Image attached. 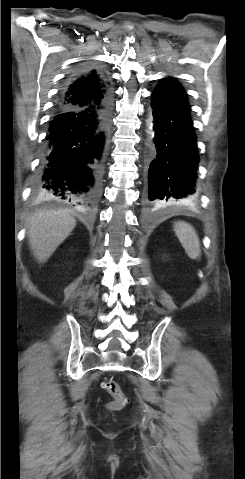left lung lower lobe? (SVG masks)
Masks as SVG:
<instances>
[{
	"label": "left lung lower lobe",
	"mask_w": 245,
	"mask_h": 479,
	"mask_svg": "<svg viewBox=\"0 0 245 479\" xmlns=\"http://www.w3.org/2000/svg\"><path fill=\"white\" fill-rule=\"evenodd\" d=\"M151 108L156 148L147 176L146 201L150 205L189 201L196 192L198 154L186 93L173 78H164L153 93Z\"/></svg>",
	"instance_id": "obj_1"
}]
</instances>
